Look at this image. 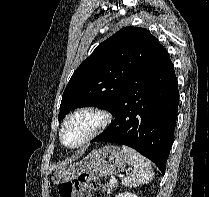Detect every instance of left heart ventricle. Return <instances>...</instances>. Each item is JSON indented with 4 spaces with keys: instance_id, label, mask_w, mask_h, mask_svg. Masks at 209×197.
Segmentation results:
<instances>
[{
    "instance_id": "1",
    "label": "left heart ventricle",
    "mask_w": 209,
    "mask_h": 197,
    "mask_svg": "<svg viewBox=\"0 0 209 197\" xmlns=\"http://www.w3.org/2000/svg\"><path fill=\"white\" fill-rule=\"evenodd\" d=\"M98 123V118L91 113H82L73 118L65 127L63 141L67 145H74Z\"/></svg>"
}]
</instances>
